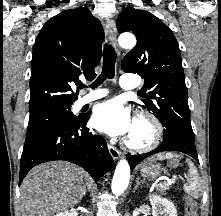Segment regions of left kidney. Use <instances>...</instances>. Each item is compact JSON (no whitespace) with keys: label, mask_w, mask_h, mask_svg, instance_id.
<instances>
[{"label":"left kidney","mask_w":221,"mask_h":216,"mask_svg":"<svg viewBox=\"0 0 221 216\" xmlns=\"http://www.w3.org/2000/svg\"><path fill=\"white\" fill-rule=\"evenodd\" d=\"M149 200L152 205L153 216H177L174 204L168 199H163L157 195H150Z\"/></svg>","instance_id":"left-kidney-1"}]
</instances>
